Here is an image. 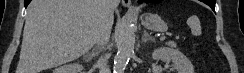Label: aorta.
Segmentation results:
<instances>
[{
  "mask_svg": "<svg viewBox=\"0 0 244 73\" xmlns=\"http://www.w3.org/2000/svg\"><path fill=\"white\" fill-rule=\"evenodd\" d=\"M135 33L132 25L127 24L124 27L120 43L118 45V52L114 61V73H123L129 59L134 52Z\"/></svg>",
  "mask_w": 244,
  "mask_h": 73,
  "instance_id": "762f6f07",
  "label": "aorta"
}]
</instances>
